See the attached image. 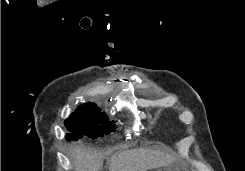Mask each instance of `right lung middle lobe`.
<instances>
[{
	"label": "right lung middle lobe",
	"instance_id": "right-lung-middle-lobe-1",
	"mask_svg": "<svg viewBox=\"0 0 245 171\" xmlns=\"http://www.w3.org/2000/svg\"><path fill=\"white\" fill-rule=\"evenodd\" d=\"M107 116L94 103L79 106L65 121L70 133L66 135L69 141L78 140L82 136L96 139L115 131L114 123L107 122Z\"/></svg>",
	"mask_w": 245,
	"mask_h": 171
}]
</instances>
